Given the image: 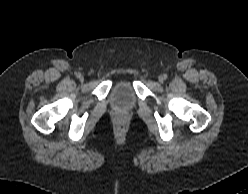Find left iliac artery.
Wrapping results in <instances>:
<instances>
[{
  "instance_id": "44dca946",
  "label": "left iliac artery",
  "mask_w": 248,
  "mask_h": 194,
  "mask_svg": "<svg viewBox=\"0 0 248 194\" xmlns=\"http://www.w3.org/2000/svg\"><path fill=\"white\" fill-rule=\"evenodd\" d=\"M163 78H164V79H167V78H168L167 74H164V75H163Z\"/></svg>"
}]
</instances>
